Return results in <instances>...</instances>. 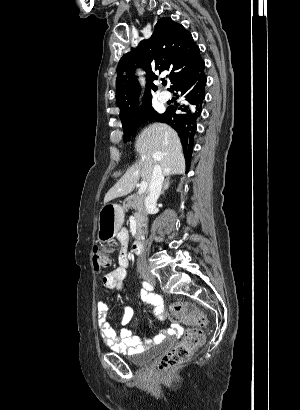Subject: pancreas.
Returning <instances> with one entry per match:
<instances>
[{
    "mask_svg": "<svg viewBox=\"0 0 300 410\" xmlns=\"http://www.w3.org/2000/svg\"><path fill=\"white\" fill-rule=\"evenodd\" d=\"M124 208L134 209L137 229L140 232L142 226L146 223V212L144 209V196L133 194L126 198L124 202Z\"/></svg>",
    "mask_w": 300,
    "mask_h": 410,
    "instance_id": "obj_1",
    "label": "pancreas"
}]
</instances>
